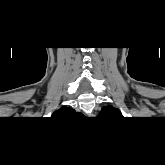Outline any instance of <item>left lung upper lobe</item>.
<instances>
[{
    "label": "left lung upper lobe",
    "instance_id": "obj_1",
    "mask_svg": "<svg viewBox=\"0 0 165 165\" xmlns=\"http://www.w3.org/2000/svg\"><path fill=\"white\" fill-rule=\"evenodd\" d=\"M100 114H113V115H122L121 112L114 107H103Z\"/></svg>",
    "mask_w": 165,
    "mask_h": 165
}]
</instances>
